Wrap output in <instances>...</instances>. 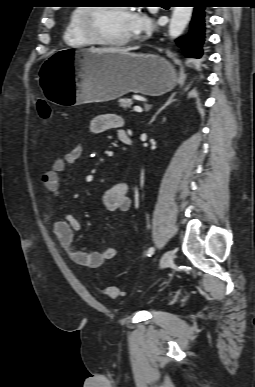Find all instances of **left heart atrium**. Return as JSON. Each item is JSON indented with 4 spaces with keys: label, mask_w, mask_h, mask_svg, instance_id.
I'll return each instance as SVG.
<instances>
[{
    "label": "left heart atrium",
    "mask_w": 255,
    "mask_h": 387,
    "mask_svg": "<svg viewBox=\"0 0 255 387\" xmlns=\"http://www.w3.org/2000/svg\"><path fill=\"white\" fill-rule=\"evenodd\" d=\"M152 24L150 19L145 15L131 14L132 34L147 33L151 30Z\"/></svg>",
    "instance_id": "1"
}]
</instances>
